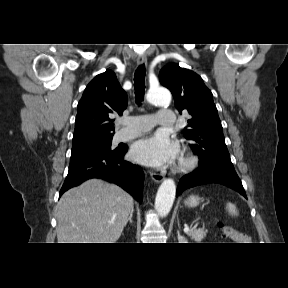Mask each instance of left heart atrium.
<instances>
[{
	"instance_id": "obj_1",
	"label": "left heart atrium",
	"mask_w": 288,
	"mask_h": 288,
	"mask_svg": "<svg viewBox=\"0 0 288 288\" xmlns=\"http://www.w3.org/2000/svg\"><path fill=\"white\" fill-rule=\"evenodd\" d=\"M176 142L163 131L145 136L136 141L132 147V158L144 165L165 166L177 157Z\"/></svg>"
}]
</instances>
